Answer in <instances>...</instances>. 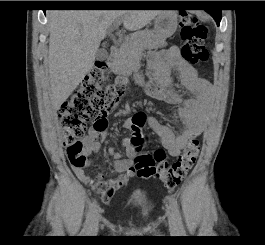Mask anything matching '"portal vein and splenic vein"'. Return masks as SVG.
Returning a JSON list of instances; mask_svg holds the SVG:
<instances>
[{
  "label": "portal vein and splenic vein",
  "instance_id": "portal-vein-and-splenic-vein-1",
  "mask_svg": "<svg viewBox=\"0 0 265 245\" xmlns=\"http://www.w3.org/2000/svg\"><path fill=\"white\" fill-rule=\"evenodd\" d=\"M122 22H123L122 19H117V20L114 22V28H118V27L121 25Z\"/></svg>",
  "mask_w": 265,
  "mask_h": 245
}]
</instances>
